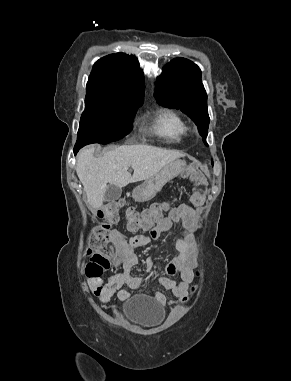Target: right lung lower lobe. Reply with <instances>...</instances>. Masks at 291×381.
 <instances>
[{
    "mask_svg": "<svg viewBox=\"0 0 291 381\" xmlns=\"http://www.w3.org/2000/svg\"><path fill=\"white\" fill-rule=\"evenodd\" d=\"M80 148H81L80 146L75 145V147H74V155H76V153L79 151Z\"/></svg>",
    "mask_w": 291,
    "mask_h": 381,
    "instance_id": "1",
    "label": "right lung lower lobe"
}]
</instances>
